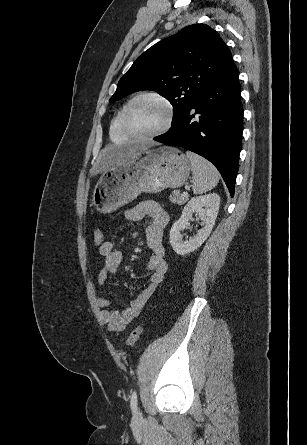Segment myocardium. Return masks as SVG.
I'll return each mask as SVG.
<instances>
[{
  "mask_svg": "<svg viewBox=\"0 0 307 445\" xmlns=\"http://www.w3.org/2000/svg\"><path fill=\"white\" fill-rule=\"evenodd\" d=\"M145 99H153L160 102L165 107L167 113V117L164 124L159 129L152 132H138L134 128L131 122V110L133 106L137 102ZM174 120H175V109L173 104L165 96L155 92H145L133 98L127 105L124 114L125 129L129 134V136L136 139H156L169 131V129L172 127L174 123Z\"/></svg>",
  "mask_w": 307,
  "mask_h": 445,
  "instance_id": "obj_1",
  "label": "myocardium"
}]
</instances>
